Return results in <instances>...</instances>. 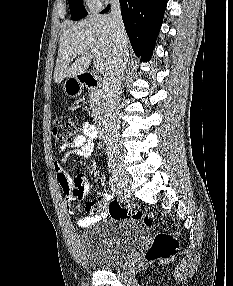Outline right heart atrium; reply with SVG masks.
I'll list each match as a JSON object with an SVG mask.
<instances>
[{
	"mask_svg": "<svg viewBox=\"0 0 233 286\" xmlns=\"http://www.w3.org/2000/svg\"><path fill=\"white\" fill-rule=\"evenodd\" d=\"M108 0H87L89 5L94 9H100L104 2Z\"/></svg>",
	"mask_w": 233,
	"mask_h": 286,
	"instance_id": "obj_1",
	"label": "right heart atrium"
}]
</instances>
